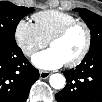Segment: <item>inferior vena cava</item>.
<instances>
[{"label":"inferior vena cava","mask_w":102,"mask_h":102,"mask_svg":"<svg viewBox=\"0 0 102 102\" xmlns=\"http://www.w3.org/2000/svg\"><path fill=\"white\" fill-rule=\"evenodd\" d=\"M32 52H33L32 50H27V51H26V54H27V55H30Z\"/></svg>","instance_id":"1"}]
</instances>
